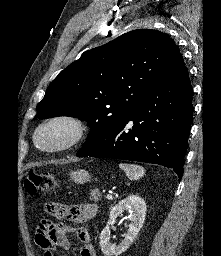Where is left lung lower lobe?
Segmentation results:
<instances>
[{
	"mask_svg": "<svg viewBox=\"0 0 221 256\" xmlns=\"http://www.w3.org/2000/svg\"><path fill=\"white\" fill-rule=\"evenodd\" d=\"M192 94L184 66L76 155L159 164L172 168L181 178L192 122Z\"/></svg>",
	"mask_w": 221,
	"mask_h": 256,
	"instance_id": "left-lung-lower-lobe-1",
	"label": "left lung lower lobe"
}]
</instances>
